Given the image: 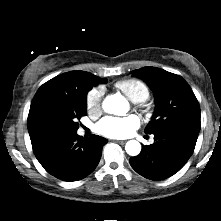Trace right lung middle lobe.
<instances>
[{
  "label": "right lung middle lobe",
  "instance_id": "1",
  "mask_svg": "<svg viewBox=\"0 0 221 221\" xmlns=\"http://www.w3.org/2000/svg\"><path fill=\"white\" fill-rule=\"evenodd\" d=\"M106 81L102 79L101 83ZM91 88L92 84L82 82L80 87L67 93L54 88L43 89L38 96L39 118L59 134L77 132V120L87 115L86 95Z\"/></svg>",
  "mask_w": 221,
  "mask_h": 221
}]
</instances>
